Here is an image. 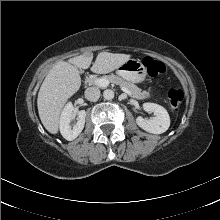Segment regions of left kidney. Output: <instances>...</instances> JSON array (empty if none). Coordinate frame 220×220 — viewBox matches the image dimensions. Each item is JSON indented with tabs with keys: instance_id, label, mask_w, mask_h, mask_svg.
Here are the masks:
<instances>
[{
	"instance_id": "1",
	"label": "left kidney",
	"mask_w": 220,
	"mask_h": 220,
	"mask_svg": "<svg viewBox=\"0 0 220 220\" xmlns=\"http://www.w3.org/2000/svg\"><path fill=\"white\" fill-rule=\"evenodd\" d=\"M143 109L147 112L154 113L151 119H145L141 116L137 117L136 123L143 130L153 133L162 134L166 132L170 126V117L167 110L155 103H144Z\"/></svg>"
}]
</instances>
